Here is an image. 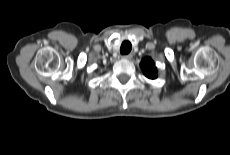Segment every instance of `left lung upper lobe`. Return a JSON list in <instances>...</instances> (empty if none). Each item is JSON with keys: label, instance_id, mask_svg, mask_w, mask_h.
Wrapping results in <instances>:
<instances>
[{"label": "left lung upper lobe", "instance_id": "left-lung-upper-lobe-1", "mask_svg": "<svg viewBox=\"0 0 230 155\" xmlns=\"http://www.w3.org/2000/svg\"><path fill=\"white\" fill-rule=\"evenodd\" d=\"M141 68L147 78L156 79L158 77L157 68L150 57H145V60L141 63Z\"/></svg>", "mask_w": 230, "mask_h": 155}]
</instances>
